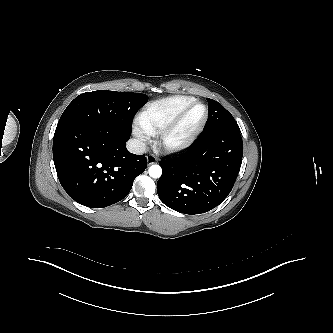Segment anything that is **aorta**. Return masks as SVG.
Here are the masks:
<instances>
[{
    "label": "aorta",
    "mask_w": 333,
    "mask_h": 333,
    "mask_svg": "<svg viewBox=\"0 0 333 333\" xmlns=\"http://www.w3.org/2000/svg\"><path fill=\"white\" fill-rule=\"evenodd\" d=\"M148 171L152 178H159L162 175V168L159 165L150 166Z\"/></svg>",
    "instance_id": "aorta-1"
}]
</instances>
